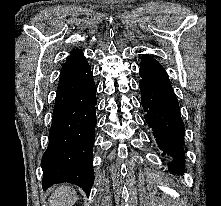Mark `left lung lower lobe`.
I'll use <instances>...</instances> for the list:
<instances>
[{"label": "left lung lower lobe", "instance_id": "0a47b994", "mask_svg": "<svg viewBox=\"0 0 221 206\" xmlns=\"http://www.w3.org/2000/svg\"><path fill=\"white\" fill-rule=\"evenodd\" d=\"M139 72L146 122L159 148L173 157L170 169L179 174L184 170V123L168 75L155 70L139 69Z\"/></svg>", "mask_w": 221, "mask_h": 206}]
</instances>
